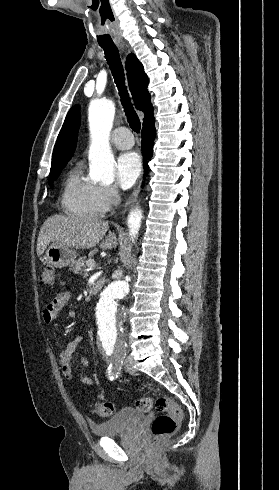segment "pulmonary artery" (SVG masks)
Masks as SVG:
<instances>
[{"label": "pulmonary artery", "instance_id": "obj_1", "mask_svg": "<svg viewBox=\"0 0 279 490\" xmlns=\"http://www.w3.org/2000/svg\"><path fill=\"white\" fill-rule=\"evenodd\" d=\"M129 130L125 127H119L114 131V145L120 150L130 149L132 146H135L136 139L135 137H128Z\"/></svg>", "mask_w": 279, "mask_h": 490}]
</instances>
